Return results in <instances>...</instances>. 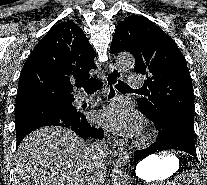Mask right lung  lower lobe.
Masks as SVG:
<instances>
[{"mask_svg": "<svg viewBox=\"0 0 207 185\" xmlns=\"http://www.w3.org/2000/svg\"><path fill=\"white\" fill-rule=\"evenodd\" d=\"M82 118L77 122H58L56 120L47 118L42 119L34 122L25 123L21 126L16 127V135H17V144L16 146L20 144L22 139L29 134L31 131L43 127V126H62L66 128H70L72 131L77 133L81 138H87V137H97V138H103L104 131L100 128H95L94 126L90 125V123L87 121L85 115L81 113Z\"/></svg>", "mask_w": 207, "mask_h": 185, "instance_id": "obj_1", "label": "right lung lower lobe"}]
</instances>
